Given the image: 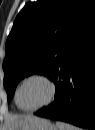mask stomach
Wrapping results in <instances>:
<instances>
[{
  "label": "stomach",
  "instance_id": "1",
  "mask_svg": "<svg viewBox=\"0 0 95 130\" xmlns=\"http://www.w3.org/2000/svg\"><path fill=\"white\" fill-rule=\"evenodd\" d=\"M17 130H57V128L47 119L34 117Z\"/></svg>",
  "mask_w": 95,
  "mask_h": 130
}]
</instances>
